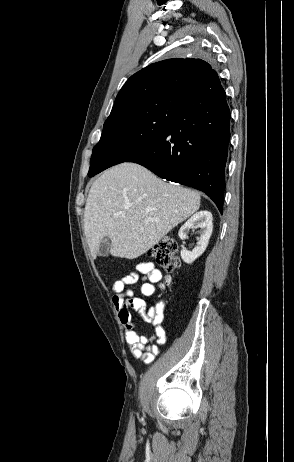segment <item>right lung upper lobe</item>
I'll use <instances>...</instances> for the list:
<instances>
[{"instance_id": "right-lung-upper-lobe-1", "label": "right lung upper lobe", "mask_w": 294, "mask_h": 462, "mask_svg": "<svg viewBox=\"0 0 294 462\" xmlns=\"http://www.w3.org/2000/svg\"><path fill=\"white\" fill-rule=\"evenodd\" d=\"M219 80L202 59H168L153 63L132 75L119 91L112 112L169 93L185 97L209 88Z\"/></svg>"}]
</instances>
